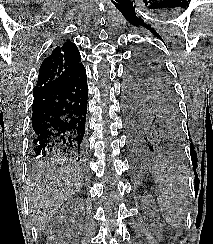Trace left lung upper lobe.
I'll return each instance as SVG.
<instances>
[{
  "instance_id": "obj_1",
  "label": "left lung upper lobe",
  "mask_w": 213,
  "mask_h": 244,
  "mask_svg": "<svg viewBox=\"0 0 213 244\" xmlns=\"http://www.w3.org/2000/svg\"><path fill=\"white\" fill-rule=\"evenodd\" d=\"M124 107L151 124L163 140L180 136V112L174 85L162 61L141 51L128 64L123 90Z\"/></svg>"
}]
</instances>
